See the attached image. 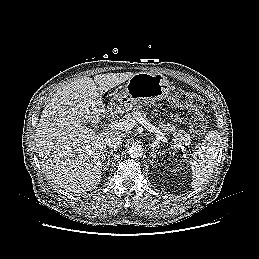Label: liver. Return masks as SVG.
<instances>
[{"label":"liver","mask_w":259,"mask_h":259,"mask_svg":"<svg viewBox=\"0 0 259 259\" xmlns=\"http://www.w3.org/2000/svg\"><path fill=\"white\" fill-rule=\"evenodd\" d=\"M134 75L107 73L96 75L94 80L85 76L63 86L50 99L34 140L41 167L56 187L81 194L101 182L105 140L125 134L116 129L95 133L85 124H97L112 111V106L105 108L102 96Z\"/></svg>","instance_id":"liver-1"}]
</instances>
